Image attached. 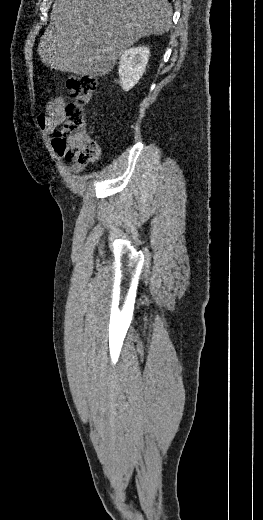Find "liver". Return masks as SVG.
I'll return each mask as SVG.
<instances>
[{"label":"liver","instance_id":"6515ba94","mask_svg":"<svg viewBox=\"0 0 263 520\" xmlns=\"http://www.w3.org/2000/svg\"><path fill=\"white\" fill-rule=\"evenodd\" d=\"M38 54L51 69L91 78L108 74L142 37L171 28L168 0H55Z\"/></svg>","mask_w":263,"mask_h":520}]
</instances>
